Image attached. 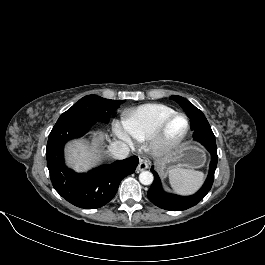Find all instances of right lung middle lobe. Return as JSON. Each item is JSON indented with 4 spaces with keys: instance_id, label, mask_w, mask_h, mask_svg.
I'll list each match as a JSON object with an SVG mask.
<instances>
[{
    "instance_id": "right-lung-middle-lobe-1",
    "label": "right lung middle lobe",
    "mask_w": 265,
    "mask_h": 265,
    "mask_svg": "<svg viewBox=\"0 0 265 265\" xmlns=\"http://www.w3.org/2000/svg\"><path fill=\"white\" fill-rule=\"evenodd\" d=\"M125 100H110L97 95H87L64 112L57 123L73 119H83L92 122L108 123L111 114Z\"/></svg>"
}]
</instances>
